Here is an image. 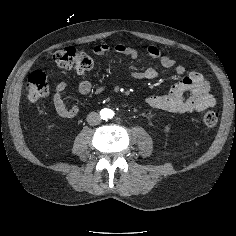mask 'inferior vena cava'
Wrapping results in <instances>:
<instances>
[{
  "instance_id": "602c4592",
  "label": "inferior vena cava",
  "mask_w": 236,
  "mask_h": 236,
  "mask_svg": "<svg viewBox=\"0 0 236 236\" xmlns=\"http://www.w3.org/2000/svg\"><path fill=\"white\" fill-rule=\"evenodd\" d=\"M87 122L89 125H97L101 122V118L98 113L96 112H91L87 115Z\"/></svg>"
}]
</instances>
